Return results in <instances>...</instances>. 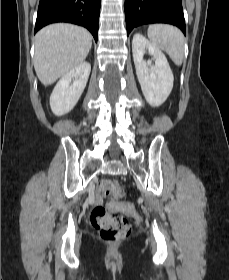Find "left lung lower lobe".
I'll use <instances>...</instances> for the list:
<instances>
[{"instance_id":"left-lung-lower-lobe-1","label":"left lung lower lobe","mask_w":229,"mask_h":280,"mask_svg":"<svg viewBox=\"0 0 229 280\" xmlns=\"http://www.w3.org/2000/svg\"><path fill=\"white\" fill-rule=\"evenodd\" d=\"M127 33L134 27L151 23L177 26L186 35L182 0H125Z\"/></svg>"}]
</instances>
